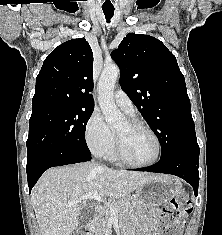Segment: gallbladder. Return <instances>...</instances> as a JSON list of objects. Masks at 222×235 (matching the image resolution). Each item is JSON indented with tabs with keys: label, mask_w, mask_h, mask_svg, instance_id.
<instances>
[{
	"label": "gallbladder",
	"mask_w": 222,
	"mask_h": 235,
	"mask_svg": "<svg viewBox=\"0 0 222 235\" xmlns=\"http://www.w3.org/2000/svg\"><path fill=\"white\" fill-rule=\"evenodd\" d=\"M94 215V205L86 204L82 207L79 215L80 224L84 225L92 219Z\"/></svg>",
	"instance_id": "bac80fb5"
}]
</instances>
